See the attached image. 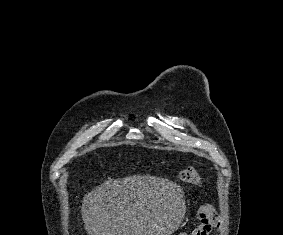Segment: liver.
<instances>
[{"instance_id": "6515ba94", "label": "liver", "mask_w": 283, "mask_h": 235, "mask_svg": "<svg viewBox=\"0 0 283 235\" xmlns=\"http://www.w3.org/2000/svg\"><path fill=\"white\" fill-rule=\"evenodd\" d=\"M182 190L161 177L108 178L83 198L88 235H170L181 223Z\"/></svg>"}]
</instances>
